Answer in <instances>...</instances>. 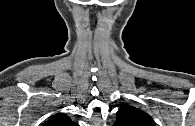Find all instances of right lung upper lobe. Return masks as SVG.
Masks as SVG:
<instances>
[{"mask_svg": "<svg viewBox=\"0 0 195 126\" xmlns=\"http://www.w3.org/2000/svg\"><path fill=\"white\" fill-rule=\"evenodd\" d=\"M44 126H78L65 113H58L51 117Z\"/></svg>", "mask_w": 195, "mask_h": 126, "instance_id": "right-lung-upper-lobe-1", "label": "right lung upper lobe"}]
</instances>
